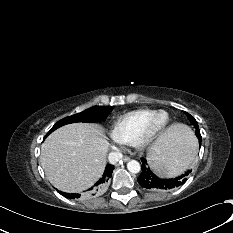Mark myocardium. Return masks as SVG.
I'll use <instances>...</instances> for the list:
<instances>
[{
  "label": "myocardium",
  "mask_w": 233,
  "mask_h": 233,
  "mask_svg": "<svg viewBox=\"0 0 233 233\" xmlns=\"http://www.w3.org/2000/svg\"><path fill=\"white\" fill-rule=\"evenodd\" d=\"M161 116L163 117V121L160 124H157V119ZM169 121L170 116L166 111H155L145 121L133 144L141 149L149 147L165 132Z\"/></svg>",
  "instance_id": "f54148a6"
}]
</instances>
